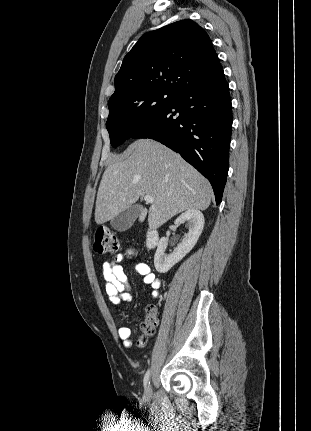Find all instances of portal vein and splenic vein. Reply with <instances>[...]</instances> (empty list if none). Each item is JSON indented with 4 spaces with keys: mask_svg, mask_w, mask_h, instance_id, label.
Listing matches in <instances>:
<instances>
[{
    "mask_svg": "<svg viewBox=\"0 0 311 431\" xmlns=\"http://www.w3.org/2000/svg\"><path fill=\"white\" fill-rule=\"evenodd\" d=\"M144 200L146 204H153L154 202V198H152V196H144Z\"/></svg>",
    "mask_w": 311,
    "mask_h": 431,
    "instance_id": "portal-vein-and-splenic-vein-1",
    "label": "portal vein and splenic vein"
}]
</instances>
